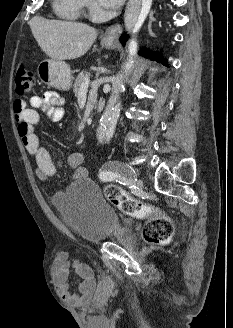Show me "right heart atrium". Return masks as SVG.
Segmentation results:
<instances>
[{"label": "right heart atrium", "mask_w": 233, "mask_h": 328, "mask_svg": "<svg viewBox=\"0 0 233 328\" xmlns=\"http://www.w3.org/2000/svg\"><path fill=\"white\" fill-rule=\"evenodd\" d=\"M83 8L87 9L88 11H92L94 8V4L92 0H81Z\"/></svg>", "instance_id": "1"}]
</instances>
